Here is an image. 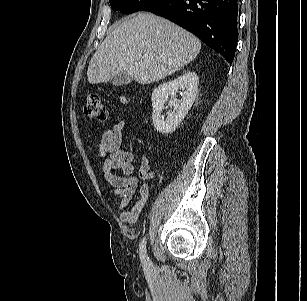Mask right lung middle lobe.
I'll list each match as a JSON object with an SVG mask.
<instances>
[{"instance_id":"dd1d6c3e","label":"right lung middle lobe","mask_w":307,"mask_h":301,"mask_svg":"<svg viewBox=\"0 0 307 301\" xmlns=\"http://www.w3.org/2000/svg\"><path fill=\"white\" fill-rule=\"evenodd\" d=\"M156 0H109L114 11H120L124 14H131L141 11L147 5Z\"/></svg>"}]
</instances>
